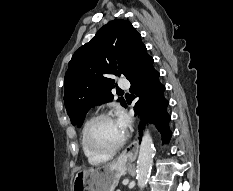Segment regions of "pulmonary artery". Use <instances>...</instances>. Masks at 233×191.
<instances>
[{"instance_id": "pulmonary-artery-1", "label": "pulmonary artery", "mask_w": 233, "mask_h": 191, "mask_svg": "<svg viewBox=\"0 0 233 191\" xmlns=\"http://www.w3.org/2000/svg\"><path fill=\"white\" fill-rule=\"evenodd\" d=\"M118 85H119L120 88H123V89H128L129 86H130L128 80H126L124 78H122V79L119 80Z\"/></svg>"}]
</instances>
